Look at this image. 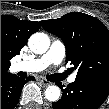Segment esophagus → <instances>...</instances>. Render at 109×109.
<instances>
[{
    "label": "esophagus",
    "instance_id": "1",
    "mask_svg": "<svg viewBox=\"0 0 109 109\" xmlns=\"http://www.w3.org/2000/svg\"><path fill=\"white\" fill-rule=\"evenodd\" d=\"M40 82L44 85V86H49L51 85V83L49 81H47L46 79H40Z\"/></svg>",
    "mask_w": 109,
    "mask_h": 109
}]
</instances>
